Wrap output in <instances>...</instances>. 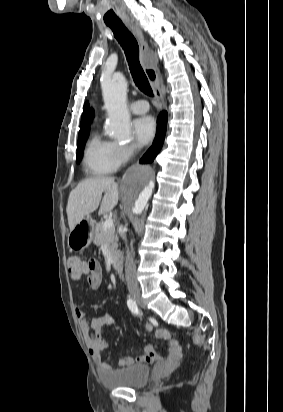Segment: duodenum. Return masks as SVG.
<instances>
[{"label": "duodenum", "instance_id": "obj_1", "mask_svg": "<svg viewBox=\"0 0 283 412\" xmlns=\"http://www.w3.org/2000/svg\"><path fill=\"white\" fill-rule=\"evenodd\" d=\"M113 268L119 277L123 274V259L120 255L113 257Z\"/></svg>", "mask_w": 283, "mask_h": 412}]
</instances>
